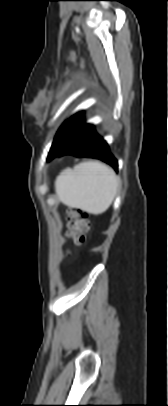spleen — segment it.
Wrapping results in <instances>:
<instances>
[{
    "label": "spleen",
    "mask_w": 168,
    "mask_h": 406,
    "mask_svg": "<svg viewBox=\"0 0 168 406\" xmlns=\"http://www.w3.org/2000/svg\"><path fill=\"white\" fill-rule=\"evenodd\" d=\"M119 185L113 169L99 161L82 162L57 176L58 199L71 208L99 215L112 204Z\"/></svg>",
    "instance_id": "1"
}]
</instances>
